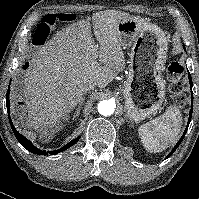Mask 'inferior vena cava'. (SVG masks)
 Masks as SVG:
<instances>
[{"instance_id": "602c4592", "label": "inferior vena cava", "mask_w": 199, "mask_h": 199, "mask_svg": "<svg viewBox=\"0 0 199 199\" xmlns=\"http://www.w3.org/2000/svg\"><path fill=\"white\" fill-rule=\"evenodd\" d=\"M96 87V83L93 81H90L86 86H85V91H90L93 90Z\"/></svg>"}]
</instances>
